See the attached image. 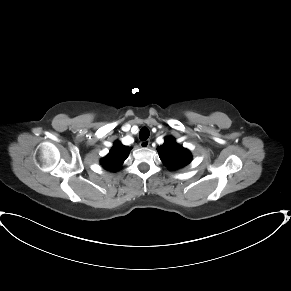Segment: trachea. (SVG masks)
<instances>
[{"instance_id": "1", "label": "trachea", "mask_w": 291, "mask_h": 291, "mask_svg": "<svg viewBox=\"0 0 291 291\" xmlns=\"http://www.w3.org/2000/svg\"><path fill=\"white\" fill-rule=\"evenodd\" d=\"M149 135H150V131L146 127H143L139 132V138L142 141H145L146 139H148Z\"/></svg>"}]
</instances>
